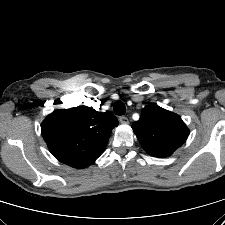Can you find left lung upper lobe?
I'll return each instance as SVG.
<instances>
[{"label": "left lung upper lobe", "mask_w": 225, "mask_h": 225, "mask_svg": "<svg viewBox=\"0 0 225 225\" xmlns=\"http://www.w3.org/2000/svg\"><path fill=\"white\" fill-rule=\"evenodd\" d=\"M132 128L144 150L159 158L171 155L189 135L180 116L154 103L142 109Z\"/></svg>", "instance_id": "1"}]
</instances>
